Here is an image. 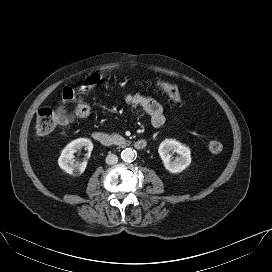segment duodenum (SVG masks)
Wrapping results in <instances>:
<instances>
[{"instance_id":"obj_1","label":"duodenum","mask_w":272,"mask_h":272,"mask_svg":"<svg viewBox=\"0 0 272 272\" xmlns=\"http://www.w3.org/2000/svg\"><path fill=\"white\" fill-rule=\"evenodd\" d=\"M93 138L96 142H98L100 145L105 147H110L114 145V140L110 134L104 131H95L93 133ZM148 146V140L147 139H138L135 142V147L138 150H144Z\"/></svg>"}]
</instances>
